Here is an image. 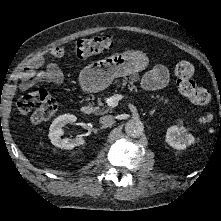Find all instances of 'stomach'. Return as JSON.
Wrapping results in <instances>:
<instances>
[{"instance_id": "stomach-1", "label": "stomach", "mask_w": 221, "mask_h": 221, "mask_svg": "<svg viewBox=\"0 0 221 221\" xmlns=\"http://www.w3.org/2000/svg\"><path fill=\"white\" fill-rule=\"evenodd\" d=\"M149 64L145 53L127 50L115 53L84 67L79 74V82L87 92H99L107 88L114 78L136 75Z\"/></svg>"}]
</instances>
